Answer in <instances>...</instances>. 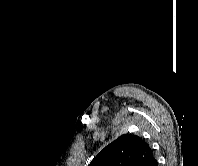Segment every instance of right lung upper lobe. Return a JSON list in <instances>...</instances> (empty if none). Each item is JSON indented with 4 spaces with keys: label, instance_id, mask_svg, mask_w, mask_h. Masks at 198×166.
<instances>
[{
    "label": "right lung upper lobe",
    "instance_id": "1",
    "mask_svg": "<svg viewBox=\"0 0 198 166\" xmlns=\"http://www.w3.org/2000/svg\"><path fill=\"white\" fill-rule=\"evenodd\" d=\"M154 160L151 148L143 139L125 134L106 146L89 166H150Z\"/></svg>",
    "mask_w": 198,
    "mask_h": 166
}]
</instances>
